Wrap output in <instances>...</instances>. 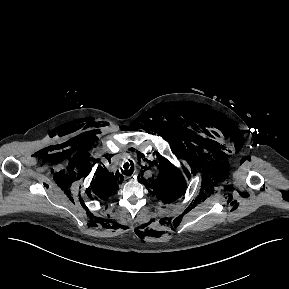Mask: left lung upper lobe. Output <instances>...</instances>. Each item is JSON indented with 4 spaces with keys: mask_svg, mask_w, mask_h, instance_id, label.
I'll list each match as a JSON object with an SVG mask.
<instances>
[{
    "mask_svg": "<svg viewBox=\"0 0 289 289\" xmlns=\"http://www.w3.org/2000/svg\"><path fill=\"white\" fill-rule=\"evenodd\" d=\"M159 176L152 182L153 194L163 202H172L180 197L186 188L184 175L167 160L163 159Z\"/></svg>",
    "mask_w": 289,
    "mask_h": 289,
    "instance_id": "1",
    "label": "left lung upper lobe"
}]
</instances>
